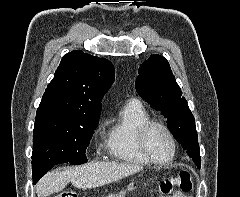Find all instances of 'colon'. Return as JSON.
<instances>
[{
    "instance_id": "obj_1",
    "label": "colon",
    "mask_w": 240,
    "mask_h": 197,
    "mask_svg": "<svg viewBox=\"0 0 240 197\" xmlns=\"http://www.w3.org/2000/svg\"><path fill=\"white\" fill-rule=\"evenodd\" d=\"M175 187H178L183 192L191 191L193 183L189 171H182L178 176L167 178L160 184V190L162 193L165 194L171 193ZM54 197H78V196L73 191H66ZM107 197H125V192L113 193Z\"/></svg>"
}]
</instances>
